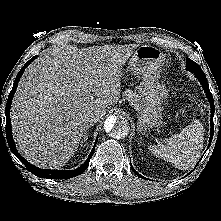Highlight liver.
<instances>
[{
    "label": "liver",
    "instance_id": "liver-1",
    "mask_svg": "<svg viewBox=\"0 0 221 221\" xmlns=\"http://www.w3.org/2000/svg\"><path fill=\"white\" fill-rule=\"evenodd\" d=\"M137 47L62 45L31 63L11 107L14 140L24 158L41 168L65 165L83 139L88 115L106 113L118 102L123 66Z\"/></svg>",
    "mask_w": 221,
    "mask_h": 221
}]
</instances>
